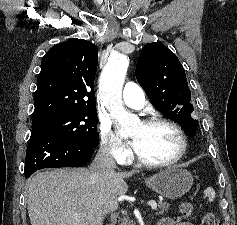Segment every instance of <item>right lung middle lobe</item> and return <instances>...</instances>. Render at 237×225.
<instances>
[{
  "mask_svg": "<svg viewBox=\"0 0 237 225\" xmlns=\"http://www.w3.org/2000/svg\"><path fill=\"white\" fill-rule=\"evenodd\" d=\"M96 109L56 115L32 122V132H45L66 137L88 146L97 147Z\"/></svg>",
  "mask_w": 237,
  "mask_h": 225,
  "instance_id": "1",
  "label": "right lung middle lobe"
}]
</instances>
